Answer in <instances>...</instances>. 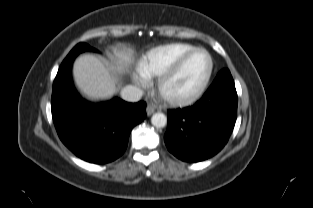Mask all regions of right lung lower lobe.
Returning a JSON list of instances; mask_svg holds the SVG:
<instances>
[{"instance_id": "98d812e1", "label": "right lung lower lobe", "mask_w": 313, "mask_h": 208, "mask_svg": "<svg viewBox=\"0 0 313 208\" xmlns=\"http://www.w3.org/2000/svg\"><path fill=\"white\" fill-rule=\"evenodd\" d=\"M86 50L94 51L90 46ZM81 52L68 55L58 70L52 90V117L59 138L76 156L91 163H108L125 151L132 128L146 117V103L119 98L100 104L82 100L71 78L72 62Z\"/></svg>"}]
</instances>
